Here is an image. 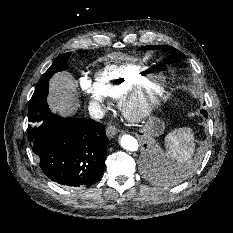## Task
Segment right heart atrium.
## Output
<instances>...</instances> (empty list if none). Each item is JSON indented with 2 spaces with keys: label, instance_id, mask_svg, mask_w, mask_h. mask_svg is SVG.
<instances>
[{
  "label": "right heart atrium",
  "instance_id": "right-heart-atrium-1",
  "mask_svg": "<svg viewBox=\"0 0 233 233\" xmlns=\"http://www.w3.org/2000/svg\"><path fill=\"white\" fill-rule=\"evenodd\" d=\"M79 85L82 95L92 111L103 105L104 97L96 82L84 76L81 77Z\"/></svg>",
  "mask_w": 233,
  "mask_h": 233
}]
</instances>
